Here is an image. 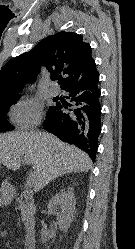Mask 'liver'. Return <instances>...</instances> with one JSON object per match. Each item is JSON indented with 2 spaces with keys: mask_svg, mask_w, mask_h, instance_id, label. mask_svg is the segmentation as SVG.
<instances>
[{
  "mask_svg": "<svg viewBox=\"0 0 135 249\" xmlns=\"http://www.w3.org/2000/svg\"><path fill=\"white\" fill-rule=\"evenodd\" d=\"M26 157L34 169V189L72 172H88L89 156L76 146L62 142L46 132H11L0 134V164L18 170Z\"/></svg>",
  "mask_w": 135,
  "mask_h": 249,
  "instance_id": "obj_1",
  "label": "liver"
}]
</instances>
